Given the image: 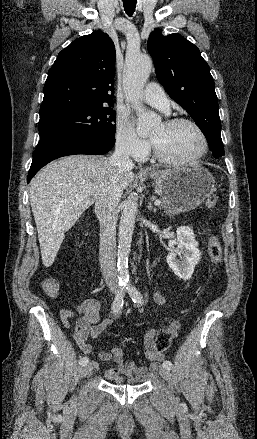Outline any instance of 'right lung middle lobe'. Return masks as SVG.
I'll return each instance as SVG.
<instances>
[{
	"instance_id": "obj_1",
	"label": "right lung middle lobe",
	"mask_w": 257,
	"mask_h": 439,
	"mask_svg": "<svg viewBox=\"0 0 257 439\" xmlns=\"http://www.w3.org/2000/svg\"><path fill=\"white\" fill-rule=\"evenodd\" d=\"M115 111L107 105L75 109L40 119V139L56 133L72 132L115 142Z\"/></svg>"
}]
</instances>
